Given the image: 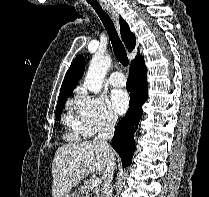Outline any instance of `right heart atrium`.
<instances>
[{
  "mask_svg": "<svg viewBox=\"0 0 209 197\" xmlns=\"http://www.w3.org/2000/svg\"><path fill=\"white\" fill-rule=\"evenodd\" d=\"M85 137H93L99 132L112 128L117 121L116 116L106 106L102 97L93 96L85 91H80L74 101Z\"/></svg>",
  "mask_w": 209,
  "mask_h": 197,
  "instance_id": "d8ad5b80",
  "label": "right heart atrium"
}]
</instances>
